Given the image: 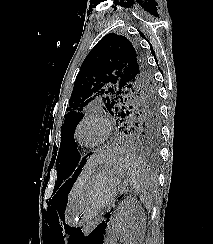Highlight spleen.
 <instances>
[{
    "label": "spleen",
    "instance_id": "obj_1",
    "mask_svg": "<svg viewBox=\"0 0 213 244\" xmlns=\"http://www.w3.org/2000/svg\"><path fill=\"white\" fill-rule=\"evenodd\" d=\"M112 152L113 164L117 172L125 173L129 179L130 186L135 192L142 194L141 201L145 208L150 210L152 199L147 194V191L151 182L143 160L126 150L114 149Z\"/></svg>",
    "mask_w": 213,
    "mask_h": 244
}]
</instances>
